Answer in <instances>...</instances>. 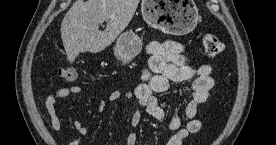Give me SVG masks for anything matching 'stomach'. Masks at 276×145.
Instances as JSON below:
<instances>
[{"instance_id": "1", "label": "stomach", "mask_w": 276, "mask_h": 145, "mask_svg": "<svg viewBox=\"0 0 276 145\" xmlns=\"http://www.w3.org/2000/svg\"><path fill=\"white\" fill-rule=\"evenodd\" d=\"M141 12L146 23L164 33L185 35L199 20L194 0H143ZM142 41L133 31L122 33L114 46V56L126 64L140 52Z\"/></svg>"}]
</instances>
